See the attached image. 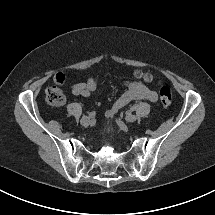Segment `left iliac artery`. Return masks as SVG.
Masks as SVG:
<instances>
[{"mask_svg":"<svg viewBox=\"0 0 215 215\" xmlns=\"http://www.w3.org/2000/svg\"><path fill=\"white\" fill-rule=\"evenodd\" d=\"M137 107H138L137 104L133 105V106L130 108V111H135V110H137Z\"/></svg>","mask_w":215,"mask_h":215,"instance_id":"44dca946","label":"left iliac artery"}]
</instances>
